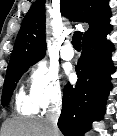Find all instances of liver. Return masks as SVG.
<instances>
[{
	"label": "liver",
	"instance_id": "6515ba94",
	"mask_svg": "<svg viewBox=\"0 0 117 136\" xmlns=\"http://www.w3.org/2000/svg\"><path fill=\"white\" fill-rule=\"evenodd\" d=\"M2 136H51L47 120L9 119L2 125ZM60 136V132H57Z\"/></svg>",
	"mask_w": 117,
	"mask_h": 136
}]
</instances>
